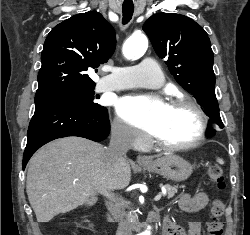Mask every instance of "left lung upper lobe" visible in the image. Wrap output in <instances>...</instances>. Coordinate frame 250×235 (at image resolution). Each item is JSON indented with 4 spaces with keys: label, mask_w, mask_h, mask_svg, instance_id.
Here are the masks:
<instances>
[{
    "label": "left lung upper lobe",
    "mask_w": 250,
    "mask_h": 235,
    "mask_svg": "<svg viewBox=\"0 0 250 235\" xmlns=\"http://www.w3.org/2000/svg\"><path fill=\"white\" fill-rule=\"evenodd\" d=\"M157 55L176 81L190 92L210 120L223 128L215 95L213 51L206 31L191 18L176 13H157L143 25Z\"/></svg>",
    "instance_id": "1"
}]
</instances>
